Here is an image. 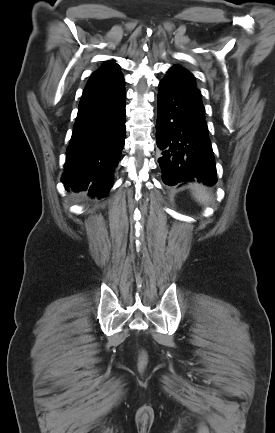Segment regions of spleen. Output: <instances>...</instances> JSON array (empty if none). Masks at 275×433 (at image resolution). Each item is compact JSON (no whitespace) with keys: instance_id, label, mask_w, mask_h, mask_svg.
<instances>
[{"instance_id":"3e777b00","label":"spleen","mask_w":275,"mask_h":433,"mask_svg":"<svg viewBox=\"0 0 275 433\" xmlns=\"http://www.w3.org/2000/svg\"><path fill=\"white\" fill-rule=\"evenodd\" d=\"M194 196L199 202H206L208 200V195L202 187L196 189V191L194 192Z\"/></svg>"}]
</instances>
